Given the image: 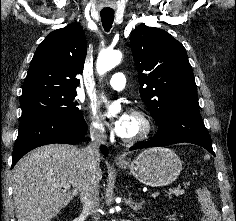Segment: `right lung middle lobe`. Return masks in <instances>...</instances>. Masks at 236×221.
I'll use <instances>...</instances> for the list:
<instances>
[{
	"label": "right lung middle lobe",
	"mask_w": 236,
	"mask_h": 221,
	"mask_svg": "<svg viewBox=\"0 0 236 221\" xmlns=\"http://www.w3.org/2000/svg\"><path fill=\"white\" fill-rule=\"evenodd\" d=\"M76 91L40 89L21 95L22 116L39 112L53 111L71 115H82L74 100Z\"/></svg>",
	"instance_id": "dd1d6c3e"
}]
</instances>
